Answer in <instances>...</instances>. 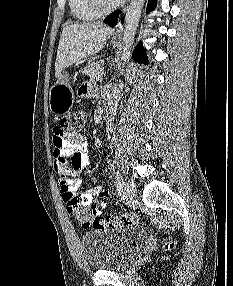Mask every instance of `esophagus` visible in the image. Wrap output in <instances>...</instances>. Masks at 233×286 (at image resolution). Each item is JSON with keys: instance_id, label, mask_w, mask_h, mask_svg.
Listing matches in <instances>:
<instances>
[{"instance_id": "34e87169", "label": "esophagus", "mask_w": 233, "mask_h": 286, "mask_svg": "<svg viewBox=\"0 0 233 286\" xmlns=\"http://www.w3.org/2000/svg\"><path fill=\"white\" fill-rule=\"evenodd\" d=\"M125 11H126V7L123 8L122 13H125ZM120 34H121V28H120V24H118L116 26L115 36L120 37Z\"/></svg>"}]
</instances>
